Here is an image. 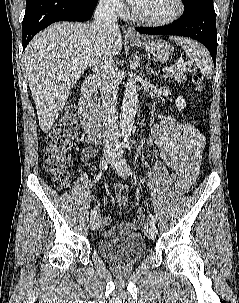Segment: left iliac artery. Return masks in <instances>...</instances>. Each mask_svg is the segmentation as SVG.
Masks as SVG:
<instances>
[{"label":"left iliac artery","instance_id":"left-iliac-artery-1","mask_svg":"<svg viewBox=\"0 0 239 303\" xmlns=\"http://www.w3.org/2000/svg\"><path fill=\"white\" fill-rule=\"evenodd\" d=\"M126 147H128V149H130V148H131V145L128 143V144L126 145ZM122 165L124 166V169H125L126 171H128L129 174L132 175L133 172H132L131 168L128 166L126 159H123V160H122ZM150 222H152L153 224H155V222H156L154 216H152L151 214H150Z\"/></svg>","mask_w":239,"mask_h":303}]
</instances>
